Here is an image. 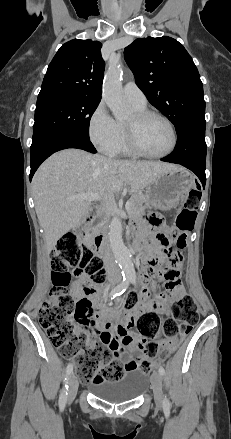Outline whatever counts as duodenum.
<instances>
[{
	"instance_id": "410a0bca",
	"label": "duodenum",
	"mask_w": 231,
	"mask_h": 439,
	"mask_svg": "<svg viewBox=\"0 0 231 439\" xmlns=\"http://www.w3.org/2000/svg\"><path fill=\"white\" fill-rule=\"evenodd\" d=\"M92 210H93V211L95 210V207H94V206H92ZM93 213H94V212H93ZM93 213H92L89 217H86V218L84 219L82 225L78 228V232L86 233V231H87V229H88V227H89V224H90L91 221H92ZM91 246H92L96 251H101V249H102V247H103V234L98 233V234L94 235V236H93V241H92V243H91ZM137 247H138V249H141V244L138 243V244H137ZM145 252H146V251L143 252V255L145 254ZM143 255H142V259H143ZM146 271H147V267H146V265L143 263V265H142V273H145Z\"/></svg>"
}]
</instances>
